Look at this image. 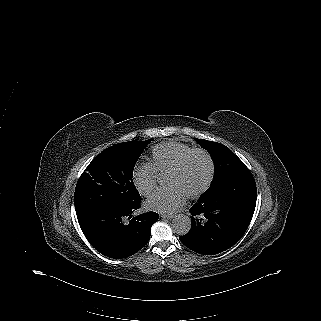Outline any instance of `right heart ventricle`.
Listing matches in <instances>:
<instances>
[{
	"mask_svg": "<svg viewBox=\"0 0 321 321\" xmlns=\"http://www.w3.org/2000/svg\"><path fill=\"white\" fill-rule=\"evenodd\" d=\"M192 147L182 143H165L154 148L153 159L156 169L164 174L174 172L188 157Z\"/></svg>",
	"mask_w": 321,
	"mask_h": 321,
	"instance_id": "e07e8e85",
	"label": "right heart ventricle"
}]
</instances>
